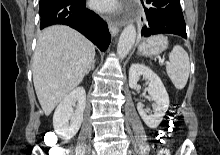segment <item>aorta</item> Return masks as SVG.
<instances>
[{"mask_svg":"<svg viewBox=\"0 0 220 155\" xmlns=\"http://www.w3.org/2000/svg\"><path fill=\"white\" fill-rule=\"evenodd\" d=\"M135 40L136 28L133 24H129L122 31L117 44V54L120 58H124L129 54L135 43Z\"/></svg>","mask_w":220,"mask_h":155,"instance_id":"1","label":"aorta"}]
</instances>
